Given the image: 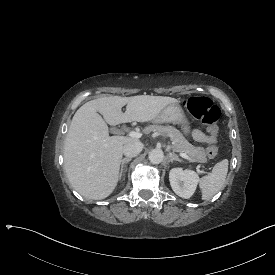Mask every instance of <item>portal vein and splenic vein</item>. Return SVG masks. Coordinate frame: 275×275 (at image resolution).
I'll return each mask as SVG.
<instances>
[{
  "label": "portal vein and splenic vein",
  "instance_id": "portal-vein-and-splenic-vein-1",
  "mask_svg": "<svg viewBox=\"0 0 275 275\" xmlns=\"http://www.w3.org/2000/svg\"><path fill=\"white\" fill-rule=\"evenodd\" d=\"M130 136L133 137V138L139 139V138H141V137L143 136V133H142V132L134 131V132H132V133L130 134ZM179 155H180L181 157H183V158H188L187 155H186L185 153H183V152H179Z\"/></svg>",
  "mask_w": 275,
  "mask_h": 275
}]
</instances>
